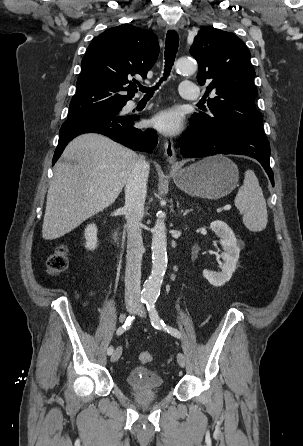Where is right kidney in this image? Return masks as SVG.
<instances>
[{
    "instance_id": "right-kidney-1",
    "label": "right kidney",
    "mask_w": 303,
    "mask_h": 446,
    "mask_svg": "<svg viewBox=\"0 0 303 446\" xmlns=\"http://www.w3.org/2000/svg\"><path fill=\"white\" fill-rule=\"evenodd\" d=\"M85 239L86 245L85 247L88 250H94L97 247V228L95 224H90L85 229Z\"/></svg>"
}]
</instances>
